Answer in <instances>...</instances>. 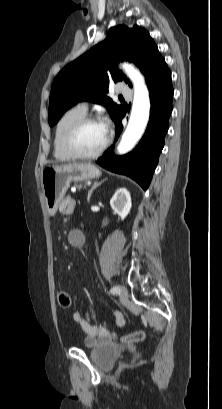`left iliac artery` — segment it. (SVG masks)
Wrapping results in <instances>:
<instances>
[{
  "label": "left iliac artery",
  "mask_w": 222,
  "mask_h": 409,
  "mask_svg": "<svg viewBox=\"0 0 222 409\" xmlns=\"http://www.w3.org/2000/svg\"><path fill=\"white\" fill-rule=\"evenodd\" d=\"M111 294H119L120 293V288L118 286H114L113 288L110 289Z\"/></svg>",
  "instance_id": "1"
}]
</instances>
